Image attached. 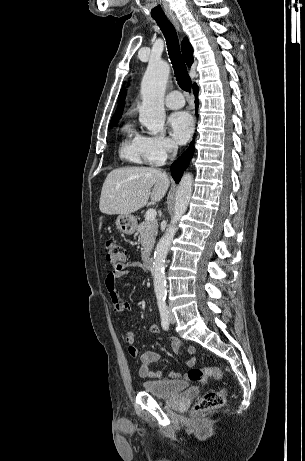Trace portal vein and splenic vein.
<instances>
[{
	"mask_svg": "<svg viewBox=\"0 0 305 461\" xmlns=\"http://www.w3.org/2000/svg\"><path fill=\"white\" fill-rule=\"evenodd\" d=\"M156 215H157V212L155 209H149L147 210L146 214H145V218L147 220H154L156 218Z\"/></svg>",
	"mask_w": 305,
	"mask_h": 461,
	"instance_id": "1",
	"label": "portal vein and splenic vein"
}]
</instances>
